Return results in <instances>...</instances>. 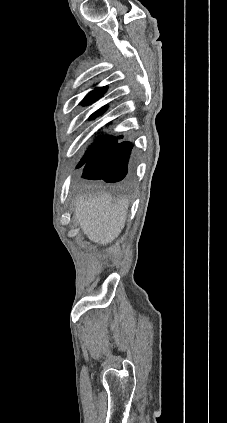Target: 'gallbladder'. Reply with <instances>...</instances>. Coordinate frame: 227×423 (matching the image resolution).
I'll return each instance as SVG.
<instances>
[{
	"label": "gallbladder",
	"mask_w": 227,
	"mask_h": 423,
	"mask_svg": "<svg viewBox=\"0 0 227 423\" xmlns=\"http://www.w3.org/2000/svg\"><path fill=\"white\" fill-rule=\"evenodd\" d=\"M87 186H91V188H95V186H97V184H87Z\"/></svg>",
	"instance_id": "1"
}]
</instances>
